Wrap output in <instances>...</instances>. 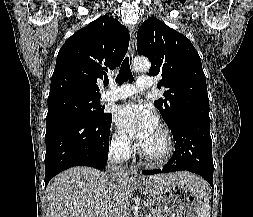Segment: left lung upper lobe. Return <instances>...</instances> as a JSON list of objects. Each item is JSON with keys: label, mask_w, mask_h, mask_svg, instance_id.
I'll use <instances>...</instances> for the list:
<instances>
[{"label": "left lung upper lobe", "mask_w": 253, "mask_h": 217, "mask_svg": "<svg viewBox=\"0 0 253 217\" xmlns=\"http://www.w3.org/2000/svg\"><path fill=\"white\" fill-rule=\"evenodd\" d=\"M137 38L138 53L151 61L149 75H160L158 88H166L154 104L169 128L183 119L210 122L206 77L190 40L155 17L141 25Z\"/></svg>", "instance_id": "1"}]
</instances>
